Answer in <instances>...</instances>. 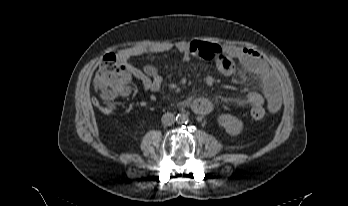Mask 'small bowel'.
Returning <instances> with one entry per match:
<instances>
[{
    "instance_id": "c3829d8e",
    "label": "small bowel",
    "mask_w": 348,
    "mask_h": 206,
    "mask_svg": "<svg viewBox=\"0 0 348 206\" xmlns=\"http://www.w3.org/2000/svg\"><path fill=\"white\" fill-rule=\"evenodd\" d=\"M177 51L187 61L192 57L213 61L217 69L223 74H231L235 69V61L254 74L264 95L257 91H250L242 98V103L247 105H263L266 101L269 112L275 113L281 106V93L275 74L255 51L242 47H223L221 45L202 40L179 41L176 43H160L139 48L137 50H124L118 57L127 63L130 57L142 54H156ZM132 75L141 83L148 93L157 92L162 85V77L158 73H148L134 66H130Z\"/></svg>"
}]
</instances>
